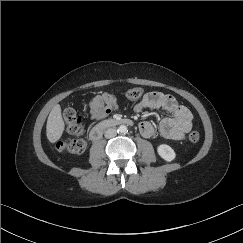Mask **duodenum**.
<instances>
[{"mask_svg":"<svg viewBox=\"0 0 243 243\" xmlns=\"http://www.w3.org/2000/svg\"><path fill=\"white\" fill-rule=\"evenodd\" d=\"M132 124V120L127 118H109L94 126L89 133V137L92 141H98L108 128L119 125L131 126Z\"/></svg>","mask_w":243,"mask_h":243,"instance_id":"1","label":"duodenum"}]
</instances>
